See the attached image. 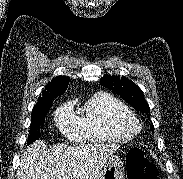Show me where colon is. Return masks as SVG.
I'll list each match as a JSON object with an SVG mask.
<instances>
[{
	"mask_svg": "<svg viewBox=\"0 0 183 179\" xmlns=\"http://www.w3.org/2000/svg\"><path fill=\"white\" fill-rule=\"evenodd\" d=\"M127 179H156L158 170L139 148H133L126 158Z\"/></svg>",
	"mask_w": 183,
	"mask_h": 179,
	"instance_id": "obj_1",
	"label": "colon"
}]
</instances>
